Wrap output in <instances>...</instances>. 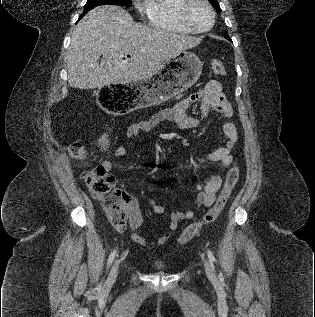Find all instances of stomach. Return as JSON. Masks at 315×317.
<instances>
[{
	"label": "stomach",
	"instance_id": "0dacf381",
	"mask_svg": "<svg viewBox=\"0 0 315 317\" xmlns=\"http://www.w3.org/2000/svg\"><path fill=\"white\" fill-rule=\"evenodd\" d=\"M199 57L182 51L167 60L152 77L134 84H103L99 88L100 104L110 114H131V111L163 103L184 92L199 79L202 72Z\"/></svg>",
	"mask_w": 315,
	"mask_h": 317
}]
</instances>
